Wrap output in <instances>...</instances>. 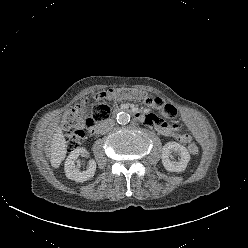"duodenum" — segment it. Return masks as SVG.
Returning a JSON list of instances; mask_svg holds the SVG:
<instances>
[{
  "label": "duodenum",
  "mask_w": 248,
  "mask_h": 248,
  "mask_svg": "<svg viewBox=\"0 0 248 248\" xmlns=\"http://www.w3.org/2000/svg\"><path fill=\"white\" fill-rule=\"evenodd\" d=\"M122 111L132 114L135 118H137L141 121H143L142 119H143V116L145 115L140 111H137V110H134V109H131L128 107L117 108V109H115L114 113L117 114V113L122 112ZM101 127H102V123L96 127V130H99Z\"/></svg>",
  "instance_id": "duodenum-1"
}]
</instances>
